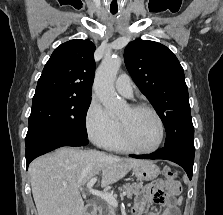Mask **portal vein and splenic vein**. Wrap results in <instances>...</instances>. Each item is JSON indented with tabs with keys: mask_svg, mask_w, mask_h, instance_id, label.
Returning a JSON list of instances; mask_svg holds the SVG:
<instances>
[{
	"mask_svg": "<svg viewBox=\"0 0 223 215\" xmlns=\"http://www.w3.org/2000/svg\"><path fill=\"white\" fill-rule=\"evenodd\" d=\"M96 181H97V177H92V179L88 181L87 187L90 193H93V195H99V197H102V199H105V201H108V203H110V205H113V207H118V201L117 199H115V197H113L112 193H108V191H98V189H92ZM125 194H126V191H123L122 196Z\"/></svg>",
	"mask_w": 223,
	"mask_h": 215,
	"instance_id": "obj_1",
	"label": "portal vein and splenic vein"
}]
</instances>
